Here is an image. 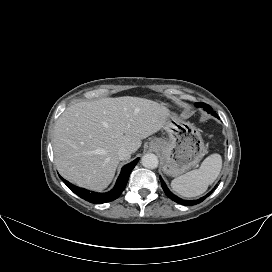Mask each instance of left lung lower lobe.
<instances>
[{
    "label": "left lung lower lobe",
    "instance_id": "1",
    "mask_svg": "<svg viewBox=\"0 0 272 272\" xmlns=\"http://www.w3.org/2000/svg\"><path fill=\"white\" fill-rule=\"evenodd\" d=\"M215 117L218 118V115L216 114ZM160 181H161V185H162V188H163L165 194L170 199H172L173 201H175V202H177L179 204L185 205V206H191V205H195V204L201 203L202 201H204L206 199V197H208L211 194V192H210L209 194H207L206 196H204V197H202V198H200L198 200H192V201H190V200H183L181 198H178L177 196H175L173 193H171L169 191V189L167 188L165 182L163 181V179L161 177H160Z\"/></svg>",
    "mask_w": 272,
    "mask_h": 272
}]
</instances>
